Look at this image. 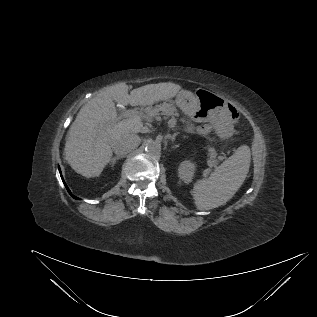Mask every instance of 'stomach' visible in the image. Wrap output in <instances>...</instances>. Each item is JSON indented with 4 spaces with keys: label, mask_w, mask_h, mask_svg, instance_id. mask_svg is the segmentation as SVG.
<instances>
[{
    "label": "stomach",
    "mask_w": 317,
    "mask_h": 317,
    "mask_svg": "<svg viewBox=\"0 0 317 317\" xmlns=\"http://www.w3.org/2000/svg\"><path fill=\"white\" fill-rule=\"evenodd\" d=\"M176 105L186 114L196 117L195 120H210L215 131L221 137L232 133V125L226 100L209 90L198 88L195 93L181 90L175 99Z\"/></svg>",
    "instance_id": "stomach-1"
}]
</instances>
